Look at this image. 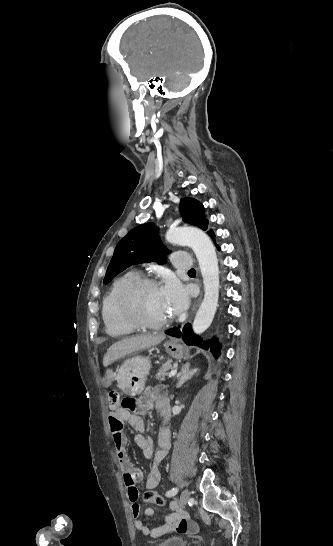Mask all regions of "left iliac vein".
Masks as SVG:
<instances>
[{
    "label": "left iliac vein",
    "mask_w": 333,
    "mask_h": 546,
    "mask_svg": "<svg viewBox=\"0 0 333 546\" xmlns=\"http://www.w3.org/2000/svg\"><path fill=\"white\" fill-rule=\"evenodd\" d=\"M189 499H190V492H189V490L185 489V490L181 493V496H180L181 505H182V506H185L186 503L189 501Z\"/></svg>",
    "instance_id": "obj_1"
}]
</instances>
